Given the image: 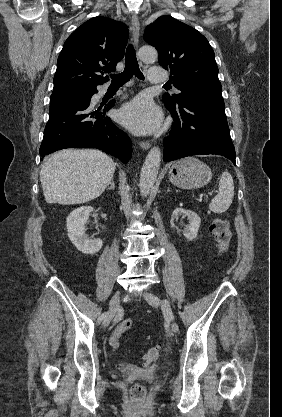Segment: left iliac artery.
I'll return each instance as SVG.
<instances>
[{"label":"left iliac artery","instance_id":"left-iliac-artery-1","mask_svg":"<svg viewBox=\"0 0 282 417\" xmlns=\"http://www.w3.org/2000/svg\"><path fill=\"white\" fill-rule=\"evenodd\" d=\"M162 310H163V312L166 314V316L168 318H170L171 320L174 319L173 313L171 311L170 303H169L168 300H163V302H162Z\"/></svg>","mask_w":282,"mask_h":417}]
</instances>
